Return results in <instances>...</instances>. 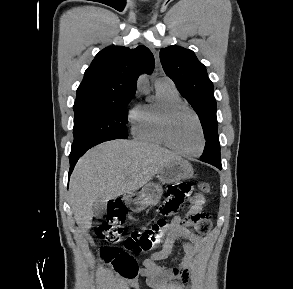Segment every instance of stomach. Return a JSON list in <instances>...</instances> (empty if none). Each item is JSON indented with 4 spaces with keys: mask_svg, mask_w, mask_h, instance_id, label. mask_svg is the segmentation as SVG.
Wrapping results in <instances>:
<instances>
[{
    "mask_svg": "<svg viewBox=\"0 0 293 289\" xmlns=\"http://www.w3.org/2000/svg\"><path fill=\"white\" fill-rule=\"evenodd\" d=\"M193 174L192 165L188 161L180 159L167 163L159 170L157 177L161 184H170L192 178ZM161 184L149 182L137 195L128 196L127 202L132 210L140 212L148 206L158 204L163 193Z\"/></svg>",
    "mask_w": 293,
    "mask_h": 289,
    "instance_id": "stomach-1",
    "label": "stomach"
}]
</instances>
